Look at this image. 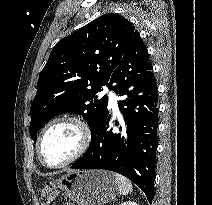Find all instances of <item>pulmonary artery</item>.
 Masks as SVG:
<instances>
[{
    "instance_id": "e3ab8cb5",
    "label": "pulmonary artery",
    "mask_w": 212,
    "mask_h": 205,
    "mask_svg": "<svg viewBox=\"0 0 212 205\" xmlns=\"http://www.w3.org/2000/svg\"><path fill=\"white\" fill-rule=\"evenodd\" d=\"M104 93H106L109 97V101H110V105L112 106V108L117 109V96L115 94L114 91L109 90V89H105Z\"/></svg>"
}]
</instances>
